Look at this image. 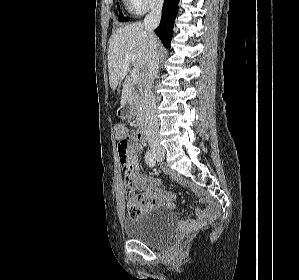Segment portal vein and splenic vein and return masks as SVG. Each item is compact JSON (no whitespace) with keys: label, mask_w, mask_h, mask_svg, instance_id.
I'll return each mask as SVG.
<instances>
[{"label":"portal vein and splenic vein","mask_w":299,"mask_h":280,"mask_svg":"<svg viewBox=\"0 0 299 280\" xmlns=\"http://www.w3.org/2000/svg\"><path fill=\"white\" fill-rule=\"evenodd\" d=\"M125 59L126 61L128 62H133L135 60V56L133 53H126L125 54ZM137 69H135L133 72H132V78H133V82L136 83L137 82ZM124 76V74H123Z\"/></svg>","instance_id":"obj_1"}]
</instances>
